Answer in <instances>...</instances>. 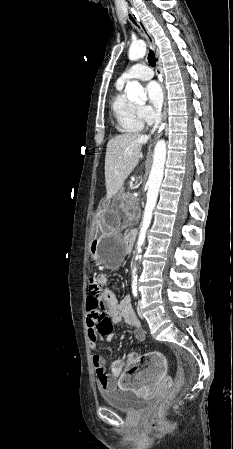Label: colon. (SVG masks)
<instances>
[{"instance_id":"5ec220e1","label":"colon","mask_w":233,"mask_h":449,"mask_svg":"<svg viewBox=\"0 0 233 449\" xmlns=\"http://www.w3.org/2000/svg\"><path fill=\"white\" fill-rule=\"evenodd\" d=\"M84 323L87 324V328H95L96 334H101L102 338H113L114 330L112 329V323L109 319V315L106 314L105 308L99 306V301H96L95 297H84ZM148 357H141L136 363H132L129 360L124 362V367L128 375H133L138 369L148 366ZM184 383V375L181 371L177 372L173 383L170 386L167 397L160 404V406L154 412V416H157L170 401L179 393ZM123 388H129V380H124L121 384Z\"/></svg>"}]
</instances>
